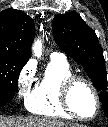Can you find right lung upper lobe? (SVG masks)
I'll use <instances>...</instances> for the list:
<instances>
[{
  "label": "right lung upper lobe",
  "mask_w": 108,
  "mask_h": 127,
  "mask_svg": "<svg viewBox=\"0 0 108 127\" xmlns=\"http://www.w3.org/2000/svg\"><path fill=\"white\" fill-rule=\"evenodd\" d=\"M35 27L24 12L6 9L0 12V54L28 61Z\"/></svg>",
  "instance_id": "right-lung-upper-lobe-1"
}]
</instances>
